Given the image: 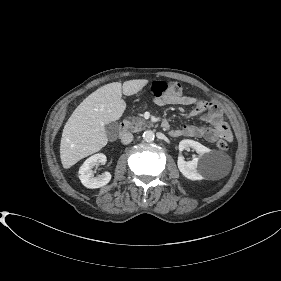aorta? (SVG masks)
<instances>
[{"label":"aorta","mask_w":281,"mask_h":281,"mask_svg":"<svg viewBox=\"0 0 281 281\" xmlns=\"http://www.w3.org/2000/svg\"><path fill=\"white\" fill-rule=\"evenodd\" d=\"M154 137H155V134H154V132L152 130H146L143 133V139L146 142H152L154 140Z\"/></svg>","instance_id":"obj_1"}]
</instances>
